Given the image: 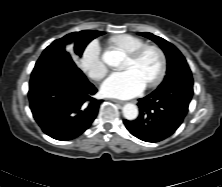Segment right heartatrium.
<instances>
[{"label": "right heart atrium", "instance_id": "d8ad5b80", "mask_svg": "<svg viewBox=\"0 0 222 187\" xmlns=\"http://www.w3.org/2000/svg\"><path fill=\"white\" fill-rule=\"evenodd\" d=\"M81 69L92 79L100 80L108 72V66L101 55V47L97 40L89 42L79 59Z\"/></svg>", "mask_w": 222, "mask_h": 187}]
</instances>
